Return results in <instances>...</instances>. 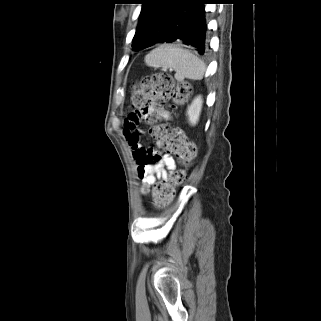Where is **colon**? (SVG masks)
I'll return each mask as SVG.
<instances>
[{
    "label": "colon",
    "instance_id": "colon-1",
    "mask_svg": "<svg viewBox=\"0 0 321 321\" xmlns=\"http://www.w3.org/2000/svg\"><path fill=\"white\" fill-rule=\"evenodd\" d=\"M189 95L188 84L176 83L170 75L157 73L134 84L132 104L138 110L166 99H171L176 105H182L188 100ZM153 132L154 139L160 142L168 153L175 155L182 165L188 166L196 158V146L181 128L157 124L153 126ZM184 176L183 170L174 169L170 171L169 181L157 183L154 188L155 205H166L173 197L175 186L183 181Z\"/></svg>",
    "mask_w": 321,
    "mask_h": 321
}]
</instances>
